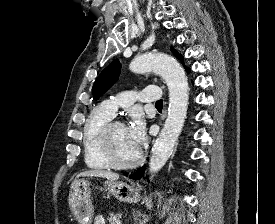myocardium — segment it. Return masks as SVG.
I'll return each instance as SVG.
<instances>
[{
	"mask_svg": "<svg viewBox=\"0 0 275 224\" xmlns=\"http://www.w3.org/2000/svg\"><path fill=\"white\" fill-rule=\"evenodd\" d=\"M115 125H124V123L117 119H110L107 121L99 131L98 134V145L101 153L106 162L113 168L117 169H130L139 165L142 161L143 154L139 150L137 156L131 161H119L113 151L111 143V130Z\"/></svg>",
	"mask_w": 275,
	"mask_h": 224,
	"instance_id": "f54148a6",
	"label": "myocardium"
}]
</instances>
